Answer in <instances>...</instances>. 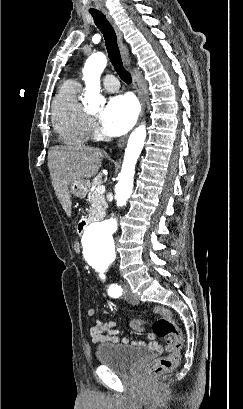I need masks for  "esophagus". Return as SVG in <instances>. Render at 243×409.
<instances>
[{
	"label": "esophagus",
	"instance_id": "esophagus-1",
	"mask_svg": "<svg viewBox=\"0 0 243 409\" xmlns=\"http://www.w3.org/2000/svg\"><path fill=\"white\" fill-rule=\"evenodd\" d=\"M104 13H105L107 19L109 20V22L111 23V25L113 26V28H114V30L116 32V35H117V38H118L119 48H120L121 55H122V59H123L125 65L128 67V69L131 71L133 81H134V86H135V89H136V93H137V96H138V99H139V102H140V105H141V110H140V115H139V119H141L142 114H143L144 109H145V98H144V93H143L142 86L139 83V80H138L136 74L131 70V62H130V58H129V53H128V50H127V46L123 41V36H122V33H121L119 27L117 26V24H116L115 20L113 19V17L106 10H104ZM126 142H127V136H124L121 139H119V141L117 143V146L119 148H121V147L125 146Z\"/></svg>",
	"mask_w": 243,
	"mask_h": 409
}]
</instances>
